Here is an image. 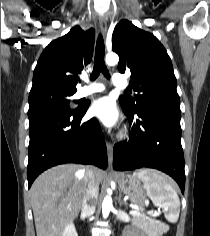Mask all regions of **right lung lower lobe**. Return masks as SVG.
Here are the masks:
<instances>
[{"label":"right lung lower lobe","instance_id":"98d812e1","mask_svg":"<svg viewBox=\"0 0 210 236\" xmlns=\"http://www.w3.org/2000/svg\"><path fill=\"white\" fill-rule=\"evenodd\" d=\"M79 112L53 110L29 117L28 187L44 170L63 163L94 164L107 168V150L98 121L80 123Z\"/></svg>","mask_w":210,"mask_h":236}]
</instances>
